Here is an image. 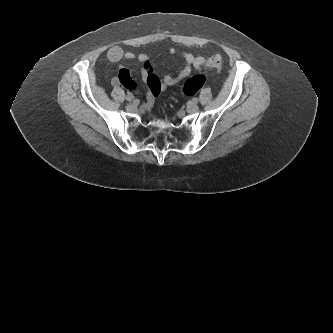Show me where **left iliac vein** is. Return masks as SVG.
Returning a JSON list of instances; mask_svg holds the SVG:
<instances>
[{
    "instance_id": "1",
    "label": "left iliac vein",
    "mask_w": 333,
    "mask_h": 333,
    "mask_svg": "<svg viewBox=\"0 0 333 333\" xmlns=\"http://www.w3.org/2000/svg\"><path fill=\"white\" fill-rule=\"evenodd\" d=\"M198 110H199V106L195 103H190L186 107V111L188 113H196V112H198Z\"/></svg>"
}]
</instances>
